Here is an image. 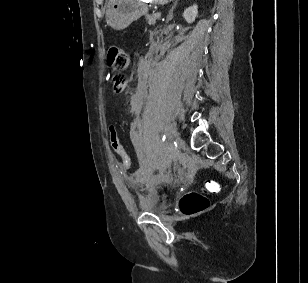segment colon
Listing matches in <instances>:
<instances>
[{"mask_svg":"<svg viewBox=\"0 0 308 283\" xmlns=\"http://www.w3.org/2000/svg\"><path fill=\"white\" fill-rule=\"evenodd\" d=\"M109 66L116 72L120 73L126 70L129 66V56L126 51L117 45L110 46L107 54ZM125 83L124 77L120 74L114 76L113 85L123 86ZM111 144L121 159L124 167H130V158L125 148L121 144L117 131L114 126L110 127ZM220 189V185L213 181L208 180L204 184L203 191L205 193H216ZM209 202L205 195L197 192H191L183 196L180 201V209L185 214H194L202 211L208 206Z\"/></svg>","mask_w":308,"mask_h":283,"instance_id":"5ec220e1","label":"colon"}]
</instances>
